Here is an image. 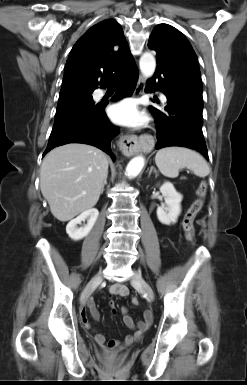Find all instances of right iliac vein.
Instances as JSON below:
<instances>
[{
	"mask_svg": "<svg viewBox=\"0 0 247 385\" xmlns=\"http://www.w3.org/2000/svg\"><path fill=\"white\" fill-rule=\"evenodd\" d=\"M101 281H102V273L99 272L90 280V282L87 284L86 288L82 292L80 296L81 305H84L87 302L91 292L93 291L94 288H96L100 284Z\"/></svg>",
	"mask_w": 247,
	"mask_h": 385,
	"instance_id": "63e3f726",
	"label": "right iliac vein"
}]
</instances>
